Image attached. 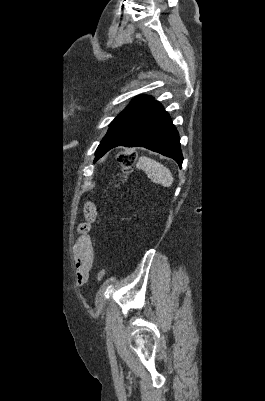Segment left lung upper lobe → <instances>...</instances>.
Listing matches in <instances>:
<instances>
[{
	"instance_id": "5c2ea615",
	"label": "left lung upper lobe",
	"mask_w": 265,
	"mask_h": 401,
	"mask_svg": "<svg viewBox=\"0 0 265 401\" xmlns=\"http://www.w3.org/2000/svg\"><path fill=\"white\" fill-rule=\"evenodd\" d=\"M153 102V98L148 96H141L134 99L126 108L123 110L110 124V128L107 134L104 136L107 137L111 134L115 129H117L126 119L143 109L145 106ZM103 138V139H104Z\"/></svg>"
}]
</instances>
